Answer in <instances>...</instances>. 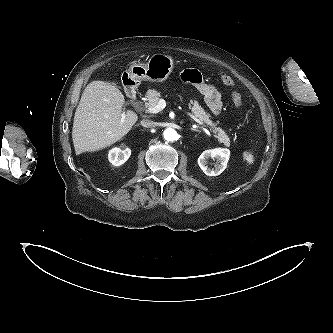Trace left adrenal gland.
Instances as JSON below:
<instances>
[{"label":"left adrenal gland","instance_id":"obj_1","mask_svg":"<svg viewBox=\"0 0 333 333\" xmlns=\"http://www.w3.org/2000/svg\"><path fill=\"white\" fill-rule=\"evenodd\" d=\"M190 130H191V131H195V132H199V133L201 132L200 130H197V129H195V128H191Z\"/></svg>","mask_w":333,"mask_h":333}]
</instances>
